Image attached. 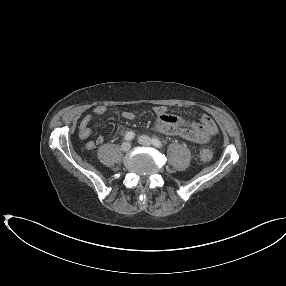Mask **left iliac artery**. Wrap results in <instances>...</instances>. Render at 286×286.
Here are the masks:
<instances>
[{
    "mask_svg": "<svg viewBox=\"0 0 286 286\" xmlns=\"http://www.w3.org/2000/svg\"><path fill=\"white\" fill-rule=\"evenodd\" d=\"M152 144L158 148H161L163 146V144L161 143V141L157 138H152Z\"/></svg>",
    "mask_w": 286,
    "mask_h": 286,
    "instance_id": "obj_1",
    "label": "left iliac artery"
}]
</instances>
